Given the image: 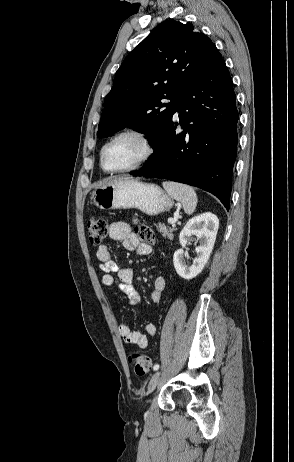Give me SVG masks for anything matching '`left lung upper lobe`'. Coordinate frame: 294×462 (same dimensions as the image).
I'll use <instances>...</instances> for the list:
<instances>
[{
  "instance_id": "left-lung-upper-lobe-1",
  "label": "left lung upper lobe",
  "mask_w": 294,
  "mask_h": 462,
  "mask_svg": "<svg viewBox=\"0 0 294 462\" xmlns=\"http://www.w3.org/2000/svg\"><path fill=\"white\" fill-rule=\"evenodd\" d=\"M220 59L210 38L190 23L162 22L116 72L97 136L108 137L129 127L151 134L148 141L155 145L171 123L185 89Z\"/></svg>"
}]
</instances>
